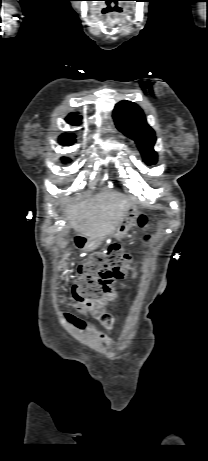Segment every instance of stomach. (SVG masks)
<instances>
[{
	"mask_svg": "<svg viewBox=\"0 0 208 461\" xmlns=\"http://www.w3.org/2000/svg\"><path fill=\"white\" fill-rule=\"evenodd\" d=\"M130 209L131 208L129 207L127 212L125 213L122 223L114 232L110 234V237H113L115 239H121L127 234L128 229L134 224L137 215L132 211L130 212ZM102 240L103 239H89L85 244L84 249L87 251L95 250L100 246Z\"/></svg>",
	"mask_w": 208,
	"mask_h": 461,
	"instance_id": "0dacf381",
	"label": "stomach"
}]
</instances>
